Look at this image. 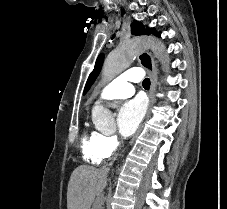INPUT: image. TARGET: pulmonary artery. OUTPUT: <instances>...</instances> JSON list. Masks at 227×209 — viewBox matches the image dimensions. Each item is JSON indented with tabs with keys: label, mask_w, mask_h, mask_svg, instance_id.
Returning a JSON list of instances; mask_svg holds the SVG:
<instances>
[{
	"label": "pulmonary artery",
	"mask_w": 227,
	"mask_h": 209,
	"mask_svg": "<svg viewBox=\"0 0 227 209\" xmlns=\"http://www.w3.org/2000/svg\"><path fill=\"white\" fill-rule=\"evenodd\" d=\"M148 73H143L139 67H133V70H125L124 73H118V78L110 82L104 91L100 92V96L96 99L95 103H100L104 100L112 98H127L134 94V85L131 83L139 84L140 79L130 78H148Z\"/></svg>",
	"instance_id": "1"
}]
</instances>
